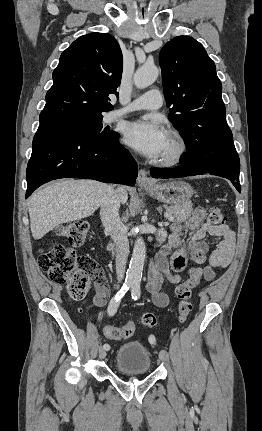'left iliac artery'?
I'll use <instances>...</instances> for the list:
<instances>
[{"mask_svg": "<svg viewBox=\"0 0 262 431\" xmlns=\"http://www.w3.org/2000/svg\"><path fill=\"white\" fill-rule=\"evenodd\" d=\"M140 293H141V291H140V282L139 281L133 282V284L131 286V295H132V298L134 300L139 299Z\"/></svg>", "mask_w": 262, "mask_h": 431, "instance_id": "1", "label": "left iliac artery"}]
</instances>
